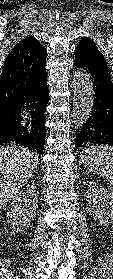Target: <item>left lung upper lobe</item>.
Here are the masks:
<instances>
[{"instance_id":"left-lung-upper-lobe-1","label":"left lung upper lobe","mask_w":113,"mask_h":279,"mask_svg":"<svg viewBox=\"0 0 113 279\" xmlns=\"http://www.w3.org/2000/svg\"><path fill=\"white\" fill-rule=\"evenodd\" d=\"M75 55H80L88 61L101 65L109 71L107 62L103 54L98 50L95 43L87 37H83L75 49Z\"/></svg>"}]
</instances>
